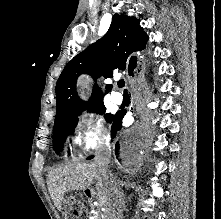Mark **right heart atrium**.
<instances>
[{
  "label": "right heart atrium",
  "mask_w": 221,
  "mask_h": 219,
  "mask_svg": "<svg viewBox=\"0 0 221 219\" xmlns=\"http://www.w3.org/2000/svg\"><path fill=\"white\" fill-rule=\"evenodd\" d=\"M109 137L103 118L98 114L85 113L73 132L74 143L84 152L98 148Z\"/></svg>",
  "instance_id": "1"
}]
</instances>
